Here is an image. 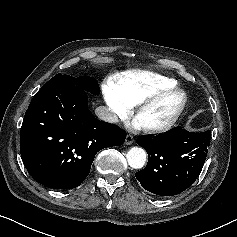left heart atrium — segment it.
<instances>
[{"label":"left heart atrium","mask_w":237,"mask_h":237,"mask_svg":"<svg viewBox=\"0 0 237 237\" xmlns=\"http://www.w3.org/2000/svg\"><path fill=\"white\" fill-rule=\"evenodd\" d=\"M133 126H134L135 128H140V127H142V124L136 119V120L133 122Z\"/></svg>","instance_id":"obj_1"}]
</instances>
